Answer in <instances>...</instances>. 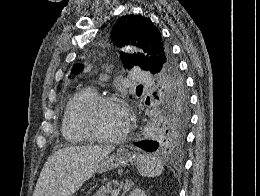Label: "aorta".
<instances>
[{
	"instance_id": "1",
	"label": "aorta",
	"mask_w": 260,
	"mask_h": 196,
	"mask_svg": "<svg viewBox=\"0 0 260 196\" xmlns=\"http://www.w3.org/2000/svg\"><path fill=\"white\" fill-rule=\"evenodd\" d=\"M123 52H125V53H133V52L143 53L142 50L137 49V48L132 47V46H126V47H124Z\"/></svg>"
}]
</instances>
